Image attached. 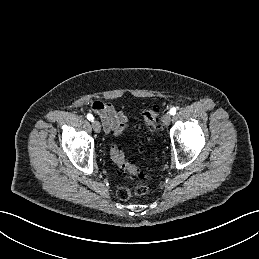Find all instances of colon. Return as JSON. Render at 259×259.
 I'll return each instance as SVG.
<instances>
[{"label": "colon", "instance_id": "colon-1", "mask_svg": "<svg viewBox=\"0 0 259 259\" xmlns=\"http://www.w3.org/2000/svg\"><path fill=\"white\" fill-rule=\"evenodd\" d=\"M159 116L160 108L153 106L144 110L142 114L143 129L147 134H153L159 128ZM110 156L114 163L119 167L121 171L126 173L130 177L144 178L146 172L128 162L123 152L117 147L112 146L110 149ZM148 192V186L142 182L136 183L132 187H121L117 195L121 200H127L132 196H142Z\"/></svg>", "mask_w": 259, "mask_h": 259}]
</instances>
